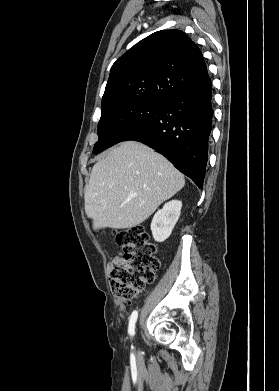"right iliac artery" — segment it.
<instances>
[{"label": "right iliac artery", "instance_id": "right-iliac-artery-1", "mask_svg": "<svg viewBox=\"0 0 279 391\" xmlns=\"http://www.w3.org/2000/svg\"><path fill=\"white\" fill-rule=\"evenodd\" d=\"M138 312L135 310L132 312L129 320L128 333L130 336H134L135 334V324L137 321Z\"/></svg>", "mask_w": 279, "mask_h": 391}]
</instances>
